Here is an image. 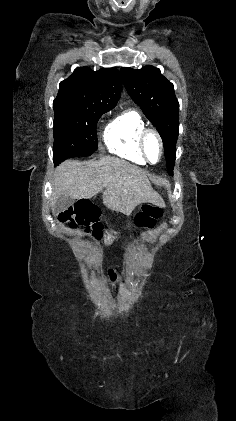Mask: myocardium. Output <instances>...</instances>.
I'll list each match as a JSON object with an SVG mask.
<instances>
[{
  "instance_id": "f54148a6",
  "label": "myocardium",
  "mask_w": 236,
  "mask_h": 421,
  "mask_svg": "<svg viewBox=\"0 0 236 421\" xmlns=\"http://www.w3.org/2000/svg\"><path fill=\"white\" fill-rule=\"evenodd\" d=\"M150 136L156 137L157 140L159 141V144H160L161 155H160V159H159L158 162H160L162 160L163 156H164L165 144H164V140H163L161 134L155 129L145 128V129L142 130V132L139 135L138 144H139L140 151H141L145 161L147 163L151 164V165H155L158 162H156V163L151 162L149 160L148 153H147V139Z\"/></svg>"
}]
</instances>
